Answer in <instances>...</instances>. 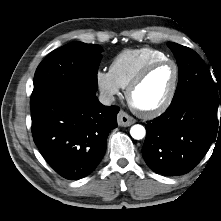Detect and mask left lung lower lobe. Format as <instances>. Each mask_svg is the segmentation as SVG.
<instances>
[{
    "instance_id": "1",
    "label": "left lung lower lobe",
    "mask_w": 221,
    "mask_h": 221,
    "mask_svg": "<svg viewBox=\"0 0 221 221\" xmlns=\"http://www.w3.org/2000/svg\"><path fill=\"white\" fill-rule=\"evenodd\" d=\"M216 108L204 97L185 96L172 101L164 114L147 122L142 155L150 169L165 176L191 171L221 130Z\"/></svg>"
}]
</instances>
